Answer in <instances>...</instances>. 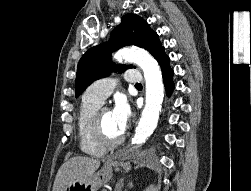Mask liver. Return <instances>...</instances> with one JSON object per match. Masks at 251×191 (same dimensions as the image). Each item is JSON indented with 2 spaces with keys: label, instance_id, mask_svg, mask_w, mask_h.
<instances>
[{
  "label": "liver",
  "instance_id": "obj_1",
  "mask_svg": "<svg viewBox=\"0 0 251 191\" xmlns=\"http://www.w3.org/2000/svg\"><path fill=\"white\" fill-rule=\"evenodd\" d=\"M99 165V159L93 157H83V155L70 157L59 167L52 191H66L67 185L72 181L87 183Z\"/></svg>",
  "mask_w": 251,
  "mask_h": 191
}]
</instances>
